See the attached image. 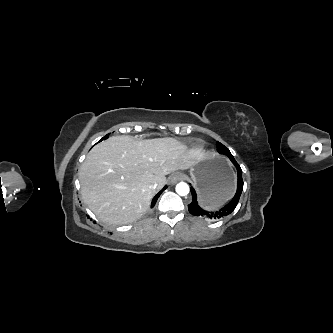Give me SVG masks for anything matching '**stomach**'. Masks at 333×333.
Returning <instances> with one entry per match:
<instances>
[{
    "instance_id": "stomach-1",
    "label": "stomach",
    "mask_w": 333,
    "mask_h": 333,
    "mask_svg": "<svg viewBox=\"0 0 333 333\" xmlns=\"http://www.w3.org/2000/svg\"><path fill=\"white\" fill-rule=\"evenodd\" d=\"M190 175L204 207H216L232 196L235 176L221 156L209 154L190 168Z\"/></svg>"
}]
</instances>
